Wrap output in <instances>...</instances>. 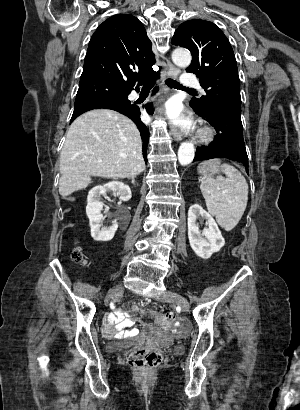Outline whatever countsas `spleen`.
Here are the masks:
<instances>
[{
	"label": "spleen",
	"instance_id": "3e777b00",
	"mask_svg": "<svg viewBox=\"0 0 300 410\" xmlns=\"http://www.w3.org/2000/svg\"><path fill=\"white\" fill-rule=\"evenodd\" d=\"M221 170L227 178L205 177L200 190L208 212L215 216L226 231L232 230L241 219L248 201V184L242 174L232 165L224 163Z\"/></svg>",
	"mask_w": 300,
	"mask_h": 410
}]
</instances>
